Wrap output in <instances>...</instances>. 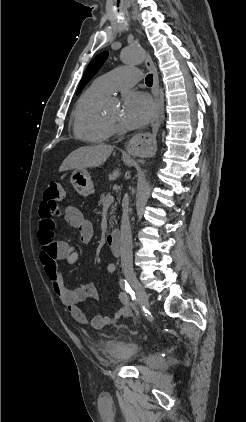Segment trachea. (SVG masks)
<instances>
[{"instance_id":"1","label":"trachea","mask_w":246,"mask_h":422,"mask_svg":"<svg viewBox=\"0 0 246 422\" xmlns=\"http://www.w3.org/2000/svg\"><path fill=\"white\" fill-rule=\"evenodd\" d=\"M145 83H146L147 86H152V84H153V75L152 74H148L146 76Z\"/></svg>"}]
</instances>
